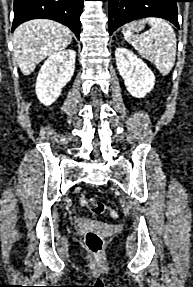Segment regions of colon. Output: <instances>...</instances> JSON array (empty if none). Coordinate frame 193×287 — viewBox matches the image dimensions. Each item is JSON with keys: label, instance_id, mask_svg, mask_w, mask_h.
Instances as JSON below:
<instances>
[{"label": "colon", "instance_id": "obj_1", "mask_svg": "<svg viewBox=\"0 0 193 287\" xmlns=\"http://www.w3.org/2000/svg\"><path fill=\"white\" fill-rule=\"evenodd\" d=\"M80 202L83 206L89 209L91 212L102 215L108 214L114 219L119 218L117 211L107 208L101 201L93 198L81 197ZM84 242L86 247L92 253H99L103 247L104 240L103 237L94 230H87L84 235Z\"/></svg>", "mask_w": 193, "mask_h": 287}]
</instances>
